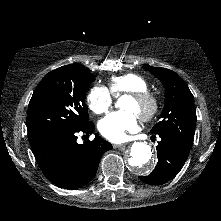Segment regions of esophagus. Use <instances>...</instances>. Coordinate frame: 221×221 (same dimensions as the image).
<instances>
[{
    "label": "esophagus",
    "mask_w": 221,
    "mask_h": 221,
    "mask_svg": "<svg viewBox=\"0 0 221 221\" xmlns=\"http://www.w3.org/2000/svg\"><path fill=\"white\" fill-rule=\"evenodd\" d=\"M127 144H114V148H117V149H122L126 146Z\"/></svg>",
    "instance_id": "obj_1"
}]
</instances>
